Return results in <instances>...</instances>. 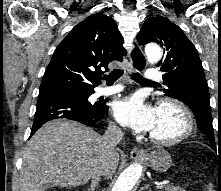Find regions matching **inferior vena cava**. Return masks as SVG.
Returning <instances> with one entry per match:
<instances>
[{"instance_id": "obj_1", "label": "inferior vena cava", "mask_w": 221, "mask_h": 191, "mask_svg": "<svg viewBox=\"0 0 221 191\" xmlns=\"http://www.w3.org/2000/svg\"><path fill=\"white\" fill-rule=\"evenodd\" d=\"M123 137V133L120 128L114 126L108 128L105 134L102 136V142L104 145V155L106 160L116 154V146L119 144ZM107 161H105L100 170L93 174L91 187L94 189L100 180L101 176H105L107 172Z\"/></svg>"}]
</instances>
